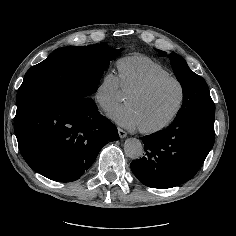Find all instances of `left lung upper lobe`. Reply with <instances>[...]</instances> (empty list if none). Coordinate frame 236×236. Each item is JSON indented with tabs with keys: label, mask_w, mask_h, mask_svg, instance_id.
Returning <instances> with one entry per match:
<instances>
[{
	"label": "left lung upper lobe",
	"mask_w": 236,
	"mask_h": 236,
	"mask_svg": "<svg viewBox=\"0 0 236 236\" xmlns=\"http://www.w3.org/2000/svg\"><path fill=\"white\" fill-rule=\"evenodd\" d=\"M161 56L166 53L158 50ZM169 59L176 78L183 90V104L178 111L175 120L186 116H215V104L210 96L205 80L195 74L186 61L175 53L169 54Z\"/></svg>",
	"instance_id": "left-lung-upper-lobe-1"
}]
</instances>
